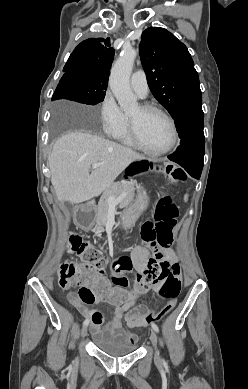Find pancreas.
Listing matches in <instances>:
<instances>
[{"label":"pancreas","instance_id":"cf45deb5","mask_svg":"<svg viewBox=\"0 0 248 389\" xmlns=\"http://www.w3.org/2000/svg\"><path fill=\"white\" fill-rule=\"evenodd\" d=\"M138 184L136 182H117L112 184L107 191L103 194L101 199L99 200L97 206V215H96V223L98 225L97 231H102L103 227L107 221L109 203L108 197L113 196L118 198L120 195L125 194L124 198L120 202V205L124 208H129L132 206L135 190L138 189Z\"/></svg>","mask_w":248,"mask_h":389}]
</instances>
